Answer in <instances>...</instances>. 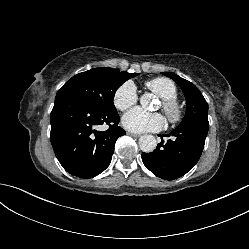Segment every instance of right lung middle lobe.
I'll return each mask as SVG.
<instances>
[{"instance_id": "1", "label": "right lung middle lobe", "mask_w": 249, "mask_h": 249, "mask_svg": "<svg viewBox=\"0 0 249 249\" xmlns=\"http://www.w3.org/2000/svg\"><path fill=\"white\" fill-rule=\"evenodd\" d=\"M136 75L112 68H94L73 76L59 89L56 96L70 95L93 109L105 112L116 111L113 104L116 90Z\"/></svg>"}]
</instances>
